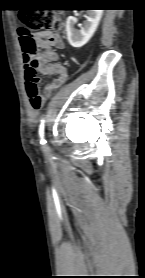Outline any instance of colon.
Returning <instances> with one entry per match:
<instances>
[{"mask_svg":"<svg viewBox=\"0 0 145 278\" xmlns=\"http://www.w3.org/2000/svg\"><path fill=\"white\" fill-rule=\"evenodd\" d=\"M20 23L21 26L17 29V34L21 51L24 59L30 62L25 69V88L30 107L34 111H39L43 106V97L40 93L39 77L34 68L40 60L54 62L57 54L51 46H41L29 34L54 32L60 29L61 20L53 13L27 10L21 13Z\"/></svg>","mask_w":145,"mask_h":278,"instance_id":"colon-1","label":"colon"}]
</instances>
